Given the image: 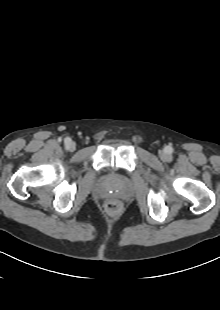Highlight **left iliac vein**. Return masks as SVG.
Here are the masks:
<instances>
[{
    "label": "left iliac vein",
    "mask_w": 220,
    "mask_h": 310,
    "mask_svg": "<svg viewBox=\"0 0 220 310\" xmlns=\"http://www.w3.org/2000/svg\"><path fill=\"white\" fill-rule=\"evenodd\" d=\"M160 157L163 159V160H168L169 159V155L163 151H161L160 153Z\"/></svg>",
    "instance_id": "obj_1"
}]
</instances>
